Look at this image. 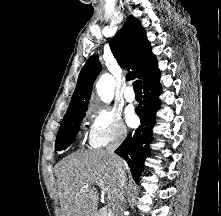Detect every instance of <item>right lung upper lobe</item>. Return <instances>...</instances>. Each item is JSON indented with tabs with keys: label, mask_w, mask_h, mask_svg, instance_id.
<instances>
[{
	"label": "right lung upper lobe",
	"mask_w": 221,
	"mask_h": 216,
	"mask_svg": "<svg viewBox=\"0 0 221 216\" xmlns=\"http://www.w3.org/2000/svg\"><path fill=\"white\" fill-rule=\"evenodd\" d=\"M110 47L119 66L132 70L127 74V79L138 77L144 84L159 73L157 59L151 52L145 30L134 16L128 17L122 29L111 39ZM100 70L98 57L91 56L79 74L76 89L64 117L87 110L92 85Z\"/></svg>",
	"instance_id": "cb5924a9"
}]
</instances>
